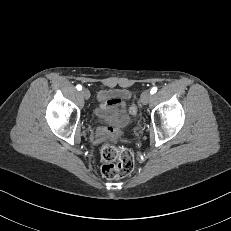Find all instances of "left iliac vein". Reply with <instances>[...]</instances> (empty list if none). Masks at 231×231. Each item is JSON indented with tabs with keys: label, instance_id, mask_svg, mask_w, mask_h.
<instances>
[{
	"label": "left iliac vein",
	"instance_id": "4c4485c4",
	"mask_svg": "<svg viewBox=\"0 0 231 231\" xmlns=\"http://www.w3.org/2000/svg\"><path fill=\"white\" fill-rule=\"evenodd\" d=\"M151 93L149 91H145L143 92L142 96H141V102L143 105H147L151 99Z\"/></svg>",
	"mask_w": 231,
	"mask_h": 231
}]
</instances>
